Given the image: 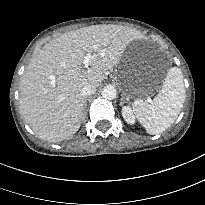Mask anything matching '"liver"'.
I'll return each instance as SVG.
<instances>
[{"mask_svg": "<svg viewBox=\"0 0 205 205\" xmlns=\"http://www.w3.org/2000/svg\"><path fill=\"white\" fill-rule=\"evenodd\" d=\"M135 33L117 25H93L62 34L45 44L20 81V110L42 139L65 140L80 128L85 85L98 87L106 71L118 65ZM93 53L90 68L83 59Z\"/></svg>", "mask_w": 205, "mask_h": 205, "instance_id": "1", "label": "liver"}]
</instances>
